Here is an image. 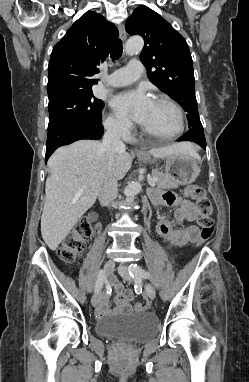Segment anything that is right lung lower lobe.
<instances>
[{
  "mask_svg": "<svg viewBox=\"0 0 249 382\" xmlns=\"http://www.w3.org/2000/svg\"><path fill=\"white\" fill-rule=\"evenodd\" d=\"M103 132L102 120L95 123L75 122L48 131L45 162L58 147L82 139L98 140Z\"/></svg>",
  "mask_w": 249,
  "mask_h": 382,
  "instance_id": "right-lung-lower-lobe-1",
  "label": "right lung lower lobe"
}]
</instances>
